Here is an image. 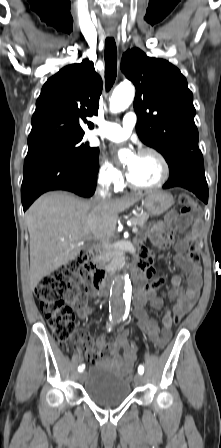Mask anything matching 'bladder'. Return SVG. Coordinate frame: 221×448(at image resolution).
<instances>
[{
    "instance_id": "obj_1",
    "label": "bladder",
    "mask_w": 221,
    "mask_h": 448,
    "mask_svg": "<svg viewBox=\"0 0 221 448\" xmlns=\"http://www.w3.org/2000/svg\"><path fill=\"white\" fill-rule=\"evenodd\" d=\"M82 382L88 398L104 407L120 405L131 393L130 380L105 365L93 366Z\"/></svg>"
}]
</instances>
